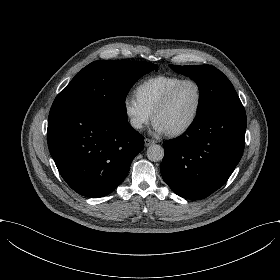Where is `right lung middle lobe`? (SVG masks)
Returning a JSON list of instances; mask_svg holds the SVG:
<instances>
[{
	"label": "right lung middle lobe",
	"instance_id": "obj_1",
	"mask_svg": "<svg viewBox=\"0 0 280 280\" xmlns=\"http://www.w3.org/2000/svg\"><path fill=\"white\" fill-rule=\"evenodd\" d=\"M158 67L140 61L98 60L84 67L53 103H75L104 115L127 119L125 98L132 85Z\"/></svg>",
	"mask_w": 280,
	"mask_h": 280
}]
</instances>
